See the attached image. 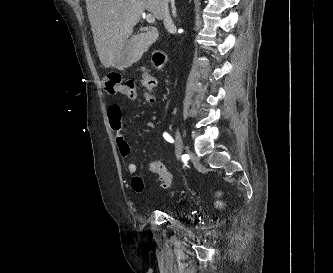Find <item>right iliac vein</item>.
<instances>
[{
  "mask_svg": "<svg viewBox=\"0 0 333 273\" xmlns=\"http://www.w3.org/2000/svg\"><path fill=\"white\" fill-rule=\"evenodd\" d=\"M175 139H176V156H177V159L179 160L185 149V145H184V142L182 140L181 134L178 129L175 130Z\"/></svg>",
  "mask_w": 333,
  "mask_h": 273,
  "instance_id": "63e3f726",
  "label": "right iliac vein"
}]
</instances>
